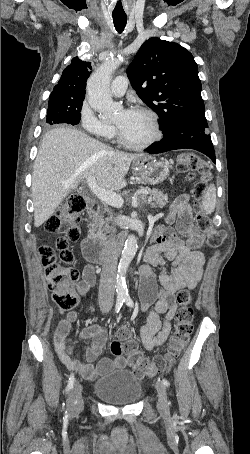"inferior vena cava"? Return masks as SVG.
I'll list each match as a JSON object with an SVG mask.
<instances>
[{"label":"inferior vena cava","mask_w":250,"mask_h":454,"mask_svg":"<svg viewBox=\"0 0 250 454\" xmlns=\"http://www.w3.org/2000/svg\"><path fill=\"white\" fill-rule=\"evenodd\" d=\"M112 234L109 237L108 245L106 248L105 259L103 263V270L101 274L98 300L101 306L112 305L114 301L115 286L113 278L116 273L118 256L120 254V247L115 241L116 229L111 227Z\"/></svg>","instance_id":"obj_1"}]
</instances>
